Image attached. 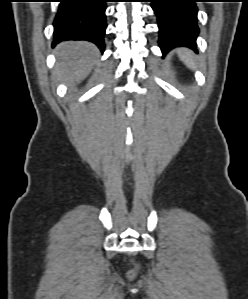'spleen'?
Masks as SVG:
<instances>
[{
    "mask_svg": "<svg viewBox=\"0 0 248 299\" xmlns=\"http://www.w3.org/2000/svg\"><path fill=\"white\" fill-rule=\"evenodd\" d=\"M177 53L180 57V59L191 69L196 68V64L193 60V53L186 49V48H181L177 50Z\"/></svg>",
    "mask_w": 248,
    "mask_h": 299,
    "instance_id": "1",
    "label": "spleen"
}]
</instances>
